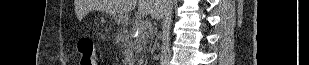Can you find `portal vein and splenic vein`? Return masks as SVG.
Instances as JSON below:
<instances>
[{
	"label": "portal vein and splenic vein",
	"mask_w": 309,
	"mask_h": 65,
	"mask_svg": "<svg viewBox=\"0 0 309 65\" xmlns=\"http://www.w3.org/2000/svg\"><path fill=\"white\" fill-rule=\"evenodd\" d=\"M146 26H147V23L144 20H142L141 23H140V27L139 28H140V30L141 29H145Z\"/></svg>",
	"instance_id": "18ae733b"
}]
</instances>
